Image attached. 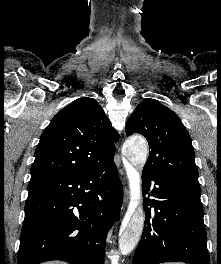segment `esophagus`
<instances>
[{"mask_svg":"<svg viewBox=\"0 0 221 264\" xmlns=\"http://www.w3.org/2000/svg\"><path fill=\"white\" fill-rule=\"evenodd\" d=\"M128 204V190L125 189V195H124V206H127Z\"/></svg>","mask_w":221,"mask_h":264,"instance_id":"1","label":"esophagus"}]
</instances>
